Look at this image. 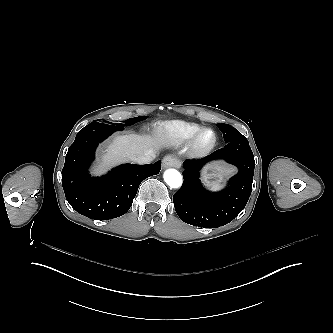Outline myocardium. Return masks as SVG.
I'll use <instances>...</instances> for the list:
<instances>
[{"instance_id": "1", "label": "myocardium", "mask_w": 333, "mask_h": 333, "mask_svg": "<svg viewBox=\"0 0 333 333\" xmlns=\"http://www.w3.org/2000/svg\"><path fill=\"white\" fill-rule=\"evenodd\" d=\"M205 132L212 133V141L207 145H202L200 143L201 136ZM217 145V134L212 128H200L196 131L188 142V152L193 157H204L210 154Z\"/></svg>"}]
</instances>
